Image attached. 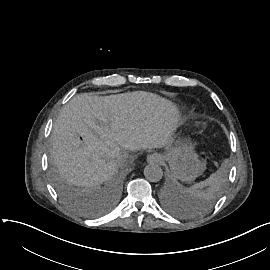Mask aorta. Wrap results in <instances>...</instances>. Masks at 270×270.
I'll return each mask as SVG.
<instances>
[{"label":"aorta","instance_id":"762f6f07","mask_svg":"<svg viewBox=\"0 0 270 270\" xmlns=\"http://www.w3.org/2000/svg\"><path fill=\"white\" fill-rule=\"evenodd\" d=\"M144 176L151 182H158L163 176V171L159 165L150 163L144 168Z\"/></svg>","mask_w":270,"mask_h":270}]
</instances>
